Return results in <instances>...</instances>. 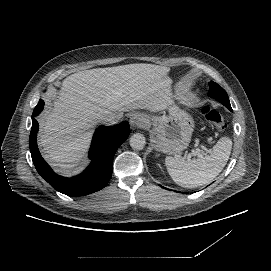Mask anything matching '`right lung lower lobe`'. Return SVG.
Wrapping results in <instances>:
<instances>
[{"label":"right lung lower lobe","instance_id":"right-lung-lower-lobe-1","mask_svg":"<svg viewBox=\"0 0 271 271\" xmlns=\"http://www.w3.org/2000/svg\"><path fill=\"white\" fill-rule=\"evenodd\" d=\"M43 106L44 101L40 99L32 114L29 138L32 160L38 173L55 190L71 197L91 194L104 188L112 175L115 152L129 136V123L100 126L93 136L89 153L92 159L90 166L78 176L65 178L53 172L41 157L37 147L36 138L39 125L35 117L42 111Z\"/></svg>","mask_w":271,"mask_h":271}]
</instances>
